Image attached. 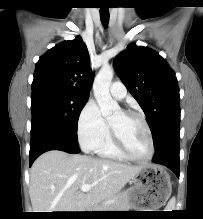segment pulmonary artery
<instances>
[{
  "mask_svg": "<svg viewBox=\"0 0 203 219\" xmlns=\"http://www.w3.org/2000/svg\"><path fill=\"white\" fill-rule=\"evenodd\" d=\"M110 93L116 99H123L126 95V88L120 81H115L110 87Z\"/></svg>",
  "mask_w": 203,
  "mask_h": 219,
  "instance_id": "1",
  "label": "pulmonary artery"
}]
</instances>
